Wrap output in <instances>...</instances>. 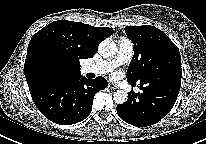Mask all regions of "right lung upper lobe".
<instances>
[{"label": "right lung upper lobe", "mask_w": 206, "mask_h": 144, "mask_svg": "<svg viewBox=\"0 0 206 144\" xmlns=\"http://www.w3.org/2000/svg\"><path fill=\"white\" fill-rule=\"evenodd\" d=\"M111 28L58 20L38 31L30 40L24 64L28 87L46 79L80 76V60L94 56Z\"/></svg>", "instance_id": "right-lung-upper-lobe-1"}]
</instances>
